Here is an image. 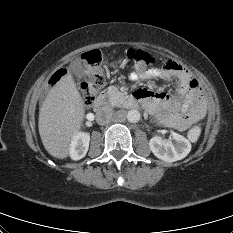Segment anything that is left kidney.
Returning a JSON list of instances; mask_svg holds the SVG:
<instances>
[{
	"label": "left kidney",
	"instance_id": "left-kidney-1",
	"mask_svg": "<svg viewBox=\"0 0 233 233\" xmlns=\"http://www.w3.org/2000/svg\"><path fill=\"white\" fill-rule=\"evenodd\" d=\"M150 150L159 159L175 162L185 158L191 151V143L184 136L171 132L169 140L155 136L149 141Z\"/></svg>",
	"mask_w": 233,
	"mask_h": 233
}]
</instances>
